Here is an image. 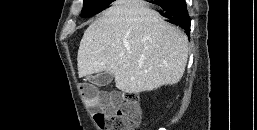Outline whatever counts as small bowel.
Listing matches in <instances>:
<instances>
[{"mask_svg": "<svg viewBox=\"0 0 257 130\" xmlns=\"http://www.w3.org/2000/svg\"><path fill=\"white\" fill-rule=\"evenodd\" d=\"M84 102L92 110L108 112L120 104L121 97L117 93L101 92L97 89L95 96L84 97Z\"/></svg>", "mask_w": 257, "mask_h": 130, "instance_id": "obj_1", "label": "small bowel"}]
</instances>
